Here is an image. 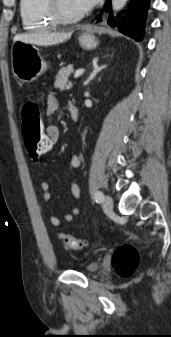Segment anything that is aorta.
I'll use <instances>...</instances> for the list:
<instances>
[{
	"instance_id": "aorta-1",
	"label": "aorta",
	"mask_w": 171,
	"mask_h": 337,
	"mask_svg": "<svg viewBox=\"0 0 171 337\" xmlns=\"http://www.w3.org/2000/svg\"><path fill=\"white\" fill-rule=\"evenodd\" d=\"M127 0H112V10L117 13L123 9Z\"/></svg>"
}]
</instances>
